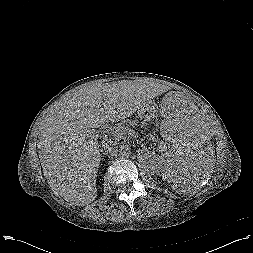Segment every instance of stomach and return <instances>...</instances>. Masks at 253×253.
Returning a JSON list of instances; mask_svg holds the SVG:
<instances>
[{"mask_svg":"<svg viewBox=\"0 0 253 253\" xmlns=\"http://www.w3.org/2000/svg\"><path fill=\"white\" fill-rule=\"evenodd\" d=\"M153 105L145 104L138 110V116L144 121L150 120L154 116Z\"/></svg>","mask_w":253,"mask_h":253,"instance_id":"obj_1","label":"stomach"}]
</instances>
